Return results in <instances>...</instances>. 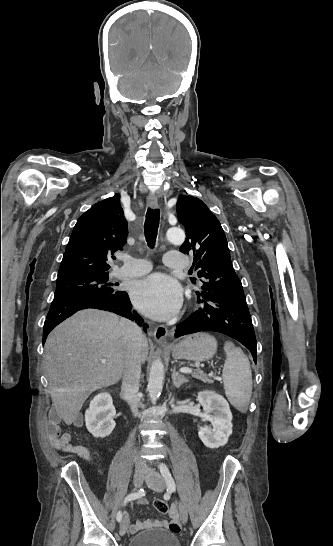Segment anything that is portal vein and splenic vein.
<instances>
[{
	"instance_id": "obj_1",
	"label": "portal vein and splenic vein",
	"mask_w": 333,
	"mask_h": 546,
	"mask_svg": "<svg viewBox=\"0 0 333 546\" xmlns=\"http://www.w3.org/2000/svg\"><path fill=\"white\" fill-rule=\"evenodd\" d=\"M101 363L105 364V363H106V359H102V360H101ZM179 371H180L181 373H186V374L192 373V370H191L190 368H186V367L180 368Z\"/></svg>"
}]
</instances>
